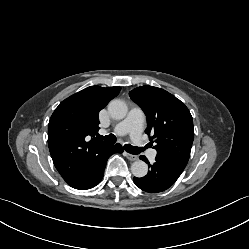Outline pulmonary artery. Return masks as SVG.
I'll use <instances>...</instances> for the list:
<instances>
[{"label":"pulmonary artery","instance_id":"e3ab8cb5","mask_svg":"<svg viewBox=\"0 0 249 249\" xmlns=\"http://www.w3.org/2000/svg\"><path fill=\"white\" fill-rule=\"evenodd\" d=\"M144 114L140 109L132 108L127 117L121 121L115 127L114 131L117 135H125L129 134L131 138L138 142L140 140L141 132L144 124ZM104 134V132H102ZM156 156L155 150H150L148 153V157L150 159H154Z\"/></svg>","mask_w":249,"mask_h":249}]
</instances>
